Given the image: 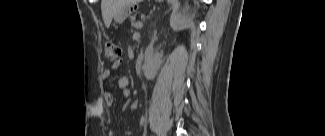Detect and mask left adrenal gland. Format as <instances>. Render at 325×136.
Wrapping results in <instances>:
<instances>
[{"mask_svg":"<svg viewBox=\"0 0 325 136\" xmlns=\"http://www.w3.org/2000/svg\"><path fill=\"white\" fill-rule=\"evenodd\" d=\"M158 40V37H157V31L155 30L154 31V35H153V42L154 41H157Z\"/></svg>","mask_w":325,"mask_h":136,"instance_id":"left-adrenal-gland-1","label":"left adrenal gland"}]
</instances>
